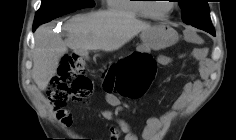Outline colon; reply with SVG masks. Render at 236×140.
<instances>
[{
	"label": "colon",
	"mask_w": 236,
	"mask_h": 140,
	"mask_svg": "<svg viewBox=\"0 0 236 140\" xmlns=\"http://www.w3.org/2000/svg\"><path fill=\"white\" fill-rule=\"evenodd\" d=\"M156 72V64L149 56H129L113 65L107 80L112 89L127 98H139L149 88ZM83 60L77 55H66L57 75L46 93L55 107L60 109L68 101H86L92 91V82Z\"/></svg>",
	"instance_id": "colon-1"
}]
</instances>
